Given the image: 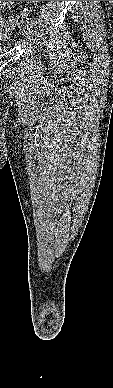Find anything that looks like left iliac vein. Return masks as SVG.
Wrapping results in <instances>:
<instances>
[{
	"label": "left iliac vein",
	"instance_id": "1",
	"mask_svg": "<svg viewBox=\"0 0 113 388\" xmlns=\"http://www.w3.org/2000/svg\"><path fill=\"white\" fill-rule=\"evenodd\" d=\"M24 36L28 39V40H31L32 39V25L30 24H26L24 27H23V30H22Z\"/></svg>",
	"mask_w": 113,
	"mask_h": 388
}]
</instances>
